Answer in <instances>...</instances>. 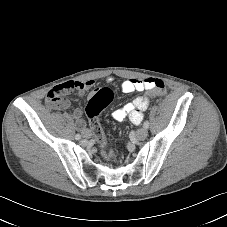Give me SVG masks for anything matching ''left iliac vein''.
<instances>
[{
    "mask_svg": "<svg viewBox=\"0 0 227 227\" xmlns=\"http://www.w3.org/2000/svg\"><path fill=\"white\" fill-rule=\"evenodd\" d=\"M147 136H148V130L145 127L139 129L136 133V138L138 140H144Z\"/></svg>",
    "mask_w": 227,
    "mask_h": 227,
    "instance_id": "obj_1",
    "label": "left iliac vein"
}]
</instances>
